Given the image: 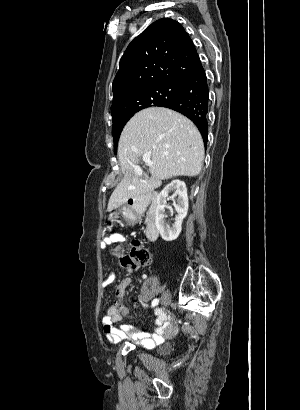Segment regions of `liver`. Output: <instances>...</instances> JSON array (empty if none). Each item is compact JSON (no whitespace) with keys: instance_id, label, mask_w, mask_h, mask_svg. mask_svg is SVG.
I'll return each instance as SVG.
<instances>
[{"instance_id":"liver-1","label":"liver","mask_w":300,"mask_h":410,"mask_svg":"<svg viewBox=\"0 0 300 410\" xmlns=\"http://www.w3.org/2000/svg\"><path fill=\"white\" fill-rule=\"evenodd\" d=\"M150 153L151 178L137 173L141 156ZM118 157L124 177L110 196L107 210L130 198L151 192L162 180L176 176H196L202 169L204 144L196 126L171 109L152 107L135 114L124 127Z\"/></svg>"}]
</instances>
